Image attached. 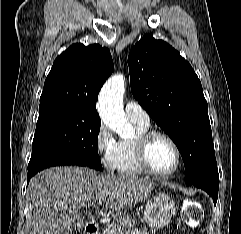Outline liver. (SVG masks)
Masks as SVG:
<instances>
[{
    "label": "liver",
    "instance_id": "6515ba94",
    "mask_svg": "<svg viewBox=\"0 0 241 234\" xmlns=\"http://www.w3.org/2000/svg\"><path fill=\"white\" fill-rule=\"evenodd\" d=\"M155 186L147 178L104 174L84 167L46 169L30 180L27 189L33 211L30 234H71L78 228L80 208L101 199L118 217L148 198Z\"/></svg>",
    "mask_w": 241,
    "mask_h": 234
}]
</instances>
